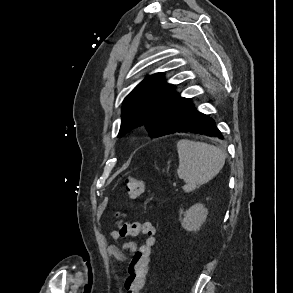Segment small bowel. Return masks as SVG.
Returning a JSON list of instances; mask_svg holds the SVG:
<instances>
[{
  "label": "small bowel",
  "mask_w": 293,
  "mask_h": 293,
  "mask_svg": "<svg viewBox=\"0 0 293 293\" xmlns=\"http://www.w3.org/2000/svg\"><path fill=\"white\" fill-rule=\"evenodd\" d=\"M108 238H110L111 240H113L115 242L120 243L122 250L127 253H133L137 248L136 244L133 241L124 239V237L121 236L119 234V232L116 230L109 232ZM107 251H108L109 256L111 258L115 259L118 263L125 262V260H126L125 256L116 247L109 246L107 248Z\"/></svg>",
  "instance_id": "small-bowel-1"
}]
</instances>
